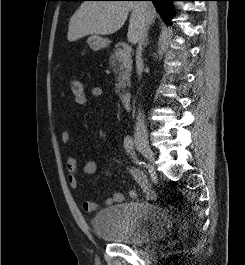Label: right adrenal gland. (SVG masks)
Segmentation results:
<instances>
[{"label": "right adrenal gland", "mask_w": 245, "mask_h": 265, "mask_svg": "<svg viewBox=\"0 0 245 265\" xmlns=\"http://www.w3.org/2000/svg\"><path fill=\"white\" fill-rule=\"evenodd\" d=\"M148 44H149V41H148V34H147L145 38L144 48L147 47Z\"/></svg>", "instance_id": "obj_1"}]
</instances>
